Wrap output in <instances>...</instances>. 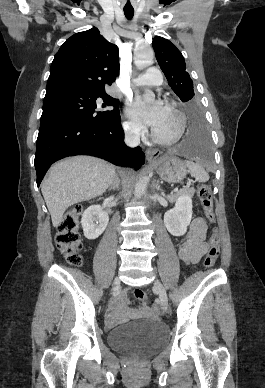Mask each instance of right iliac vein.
Returning a JSON list of instances; mask_svg holds the SVG:
<instances>
[{
    "label": "right iliac vein",
    "instance_id": "63e3f726",
    "mask_svg": "<svg viewBox=\"0 0 265 388\" xmlns=\"http://www.w3.org/2000/svg\"><path fill=\"white\" fill-rule=\"evenodd\" d=\"M119 284H120V280H119L118 277H116V278L114 279V281H113V287H114V288H115V287H118Z\"/></svg>",
    "mask_w": 265,
    "mask_h": 388
}]
</instances>
